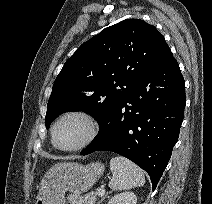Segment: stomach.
Masks as SVG:
<instances>
[{
    "mask_svg": "<svg viewBox=\"0 0 212 204\" xmlns=\"http://www.w3.org/2000/svg\"><path fill=\"white\" fill-rule=\"evenodd\" d=\"M104 165L96 162L82 165L61 162L44 175L38 190L36 204H65V192L80 194L88 191L103 174Z\"/></svg>",
    "mask_w": 212,
    "mask_h": 204,
    "instance_id": "stomach-1",
    "label": "stomach"
}]
</instances>
